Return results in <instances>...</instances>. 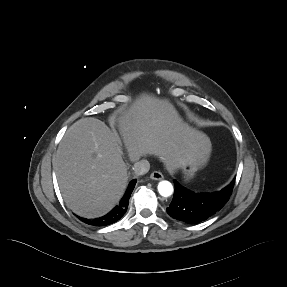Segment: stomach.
I'll list each match as a JSON object with an SVG mask.
<instances>
[{
  "label": "stomach",
  "instance_id": "stomach-1",
  "mask_svg": "<svg viewBox=\"0 0 287 287\" xmlns=\"http://www.w3.org/2000/svg\"><path fill=\"white\" fill-rule=\"evenodd\" d=\"M184 174V181H189L193 178L195 172L198 169V165L196 160L188 159L184 162V164L180 168Z\"/></svg>",
  "mask_w": 287,
  "mask_h": 287
}]
</instances>
